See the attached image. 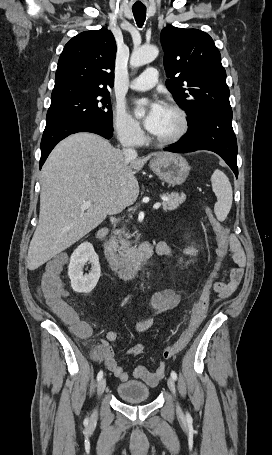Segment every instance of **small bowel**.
I'll return each mask as SVG.
<instances>
[{"instance_id":"c3829d8e","label":"small bowel","mask_w":272,"mask_h":455,"mask_svg":"<svg viewBox=\"0 0 272 455\" xmlns=\"http://www.w3.org/2000/svg\"><path fill=\"white\" fill-rule=\"evenodd\" d=\"M229 250L232 254V259L235 263V266L231 268L229 273V278L227 281H215L213 284V291L218 294L221 299L228 298L231 296L234 291L239 286L244 267L246 264V255L242 249V246L235 235L229 237ZM156 251L159 255L172 256L173 252L165 243H159L156 246ZM181 300V293L171 289H165L160 292L155 293L149 300V307L154 311H168L175 308ZM151 318H145L138 326V331H143L146 329L150 323ZM107 340L116 344L118 336L115 332H109L107 334ZM133 356H137L143 353V346L141 344H136L133 346L129 352ZM94 356L96 359L102 361L106 368L113 373V375L118 378L121 382L128 380V374L119 366L115 352L111 346L106 343H103L99 346L95 352ZM165 375V367L163 364L158 363L154 371H149L144 366H137L133 371V376L151 386L156 385Z\"/></svg>"}]
</instances>
